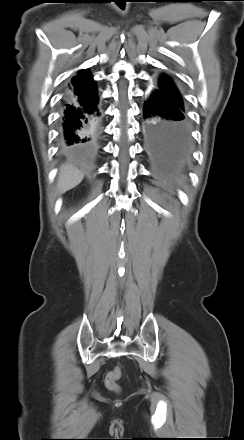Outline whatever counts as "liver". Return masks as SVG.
Returning a JSON list of instances; mask_svg holds the SVG:
<instances>
[{"label": "liver", "instance_id": "liver-1", "mask_svg": "<svg viewBox=\"0 0 244 440\" xmlns=\"http://www.w3.org/2000/svg\"><path fill=\"white\" fill-rule=\"evenodd\" d=\"M83 178L84 174L82 171L71 165L62 166L59 172L57 184L59 193H65L66 191L73 189L81 183Z\"/></svg>", "mask_w": 244, "mask_h": 440}]
</instances>
